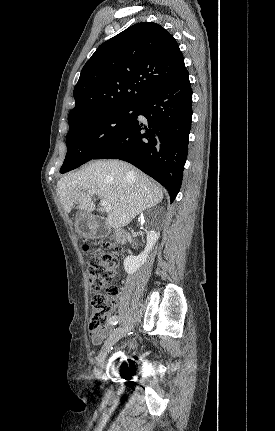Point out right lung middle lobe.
Instances as JSON below:
<instances>
[{"instance_id":"right-lung-middle-lobe-1","label":"right lung middle lobe","mask_w":275,"mask_h":431,"mask_svg":"<svg viewBox=\"0 0 275 431\" xmlns=\"http://www.w3.org/2000/svg\"><path fill=\"white\" fill-rule=\"evenodd\" d=\"M136 106H114L89 113L69 124L68 148L60 173L93 159L136 119Z\"/></svg>"}]
</instances>
